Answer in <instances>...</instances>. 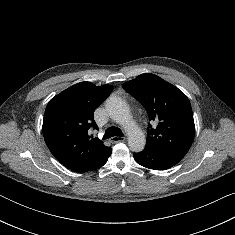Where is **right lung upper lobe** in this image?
Listing matches in <instances>:
<instances>
[{
  "label": "right lung upper lobe",
  "instance_id": "1",
  "mask_svg": "<svg viewBox=\"0 0 235 235\" xmlns=\"http://www.w3.org/2000/svg\"><path fill=\"white\" fill-rule=\"evenodd\" d=\"M110 85L80 82L52 98L43 119V136L50 152L66 167L88 171L110 147L88 131L96 128L95 109L110 95Z\"/></svg>",
  "mask_w": 235,
  "mask_h": 235
}]
</instances>
